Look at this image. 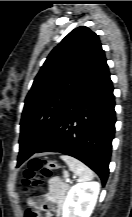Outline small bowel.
Here are the masks:
<instances>
[{
    "label": "small bowel",
    "mask_w": 132,
    "mask_h": 217,
    "mask_svg": "<svg viewBox=\"0 0 132 217\" xmlns=\"http://www.w3.org/2000/svg\"><path fill=\"white\" fill-rule=\"evenodd\" d=\"M48 186V193L43 198L32 200L30 207H38L46 210V217H57L62 211L69 186L59 177L51 178Z\"/></svg>",
    "instance_id": "1"
}]
</instances>
